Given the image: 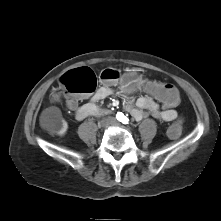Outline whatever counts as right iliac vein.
Listing matches in <instances>:
<instances>
[{
	"instance_id": "obj_1",
	"label": "right iliac vein",
	"mask_w": 221,
	"mask_h": 221,
	"mask_svg": "<svg viewBox=\"0 0 221 221\" xmlns=\"http://www.w3.org/2000/svg\"><path fill=\"white\" fill-rule=\"evenodd\" d=\"M100 125H101L102 127H107V126L109 125V120H107V119L102 120L101 123H100Z\"/></svg>"
}]
</instances>
